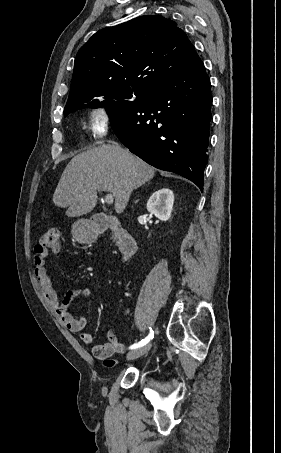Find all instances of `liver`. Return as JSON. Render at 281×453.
I'll list each match as a JSON object with an SVG mask.
<instances>
[{
    "mask_svg": "<svg viewBox=\"0 0 281 453\" xmlns=\"http://www.w3.org/2000/svg\"><path fill=\"white\" fill-rule=\"evenodd\" d=\"M156 170L119 142H102L71 158L61 174L53 202L67 208V216H82L96 206L97 190H109L115 198L116 212H123L132 190L154 178Z\"/></svg>",
    "mask_w": 281,
    "mask_h": 453,
    "instance_id": "6515ba94",
    "label": "liver"
}]
</instances>
